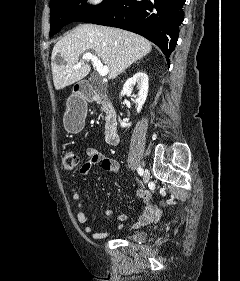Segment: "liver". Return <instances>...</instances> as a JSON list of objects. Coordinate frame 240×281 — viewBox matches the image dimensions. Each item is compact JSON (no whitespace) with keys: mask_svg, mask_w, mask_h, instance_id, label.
I'll return each instance as SVG.
<instances>
[{"mask_svg":"<svg viewBox=\"0 0 240 281\" xmlns=\"http://www.w3.org/2000/svg\"><path fill=\"white\" fill-rule=\"evenodd\" d=\"M152 50V44L144 37L118 28L81 24L61 38L51 55L53 82L56 90L64 89L83 78L91 66L79 63L80 56L88 51L95 53L109 68V79H115L136 61ZM60 55L63 62L56 57Z\"/></svg>","mask_w":240,"mask_h":281,"instance_id":"1","label":"liver"}]
</instances>
